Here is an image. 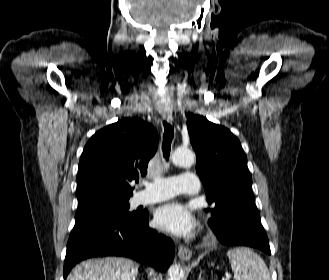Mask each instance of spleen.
Masks as SVG:
<instances>
[{"instance_id": "spleen-1", "label": "spleen", "mask_w": 329, "mask_h": 280, "mask_svg": "<svg viewBox=\"0 0 329 280\" xmlns=\"http://www.w3.org/2000/svg\"><path fill=\"white\" fill-rule=\"evenodd\" d=\"M227 256L235 280H271L263 259L246 247L230 249Z\"/></svg>"}]
</instances>
